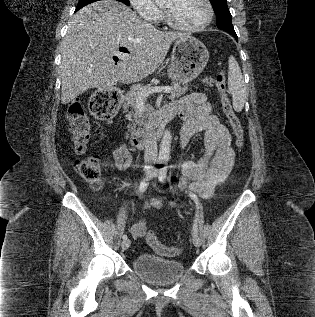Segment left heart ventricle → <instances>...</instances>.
Instances as JSON below:
<instances>
[{"mask_svg":"<svg viewBox=\"0 0 315 317\" xmlns=\"http://www.w3.org/2000/svg\"><path fill=\"white\" fill-rule=\"evenodd\" d=\"M163 8L175 22L185 26L199 25L207 15L203 0H165Z\"/></svg>","mask_w":315,"mask_h":317,"instance_id":"obj_1","label":"left heart ventricle"}]
</instances>
